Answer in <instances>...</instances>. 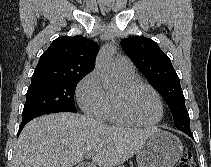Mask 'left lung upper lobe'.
Here are the masks:
<instances>
[{
    "label": "left lung upper lobe",
    "mask_w": 211,
    "mask_h": 167,
    "mask_svg": "<svg viewBox=\"0 0 211 167\" xmlns=\"http://www.w3.org/2000/svg\"><path fill=\"white\" fill-rule=\"evenodd\" d=\"M121 46L137 69L164 98L173 115L176 128L180 131L190 130L189 114L179 77L169 57L157 43L142 36L122 39Z\"/></svg>",
    "instance_id": "1"
}]
</instances>
